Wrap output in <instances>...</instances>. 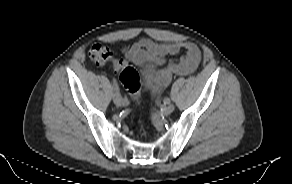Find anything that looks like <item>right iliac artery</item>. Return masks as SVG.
Here are the masks:
<instances>
[{
    "label": "right iliac artery",
    "instance_id": "1",
    "mask_svg": "<svg viewBox=\"0 0 292 184\" xmlns=\"http://www.w3.org/2000/svg\"><path fill=\"white\" fill-rule=\"evenodd\" d=\"M113 86H114L115 94H117L118 97H122V93L119 91L118 85L115 80L113 81ZM125 101H128V100H125Z\"/></svg>",
    "mask_w": 292,
    "mask_h": 184
}]
</instances>
